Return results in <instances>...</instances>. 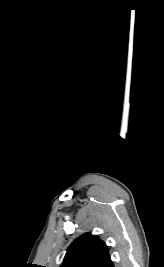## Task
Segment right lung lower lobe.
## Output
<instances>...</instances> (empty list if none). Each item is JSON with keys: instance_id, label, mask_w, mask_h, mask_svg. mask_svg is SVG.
<instances>
[{"instance_id": "1", "label": "right lung lower lobe", "mask_w": 164, "mask_h": 267, "mask_svg": "<svg viewBox=\"0 0 164 267\" xmlns=\"http://www.w3.org/2000/svg\"><path fill=\"white\" fill-rule=\"evenodd\" d=\"M102 267H114L113 264H112V261L109 260L107 261Z\"/></svg>"}]
</instances>
